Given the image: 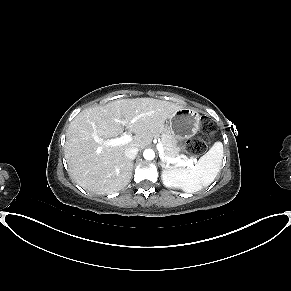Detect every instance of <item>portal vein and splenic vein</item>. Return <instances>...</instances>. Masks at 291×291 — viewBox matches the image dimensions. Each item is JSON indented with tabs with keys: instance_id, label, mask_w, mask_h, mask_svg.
<instances>
[{
	"instance_id": "18ae733b",
	"label": "portal vein and splenic vein",
	"mask_w": 291,
	"mask_h": 291,
	"mask_svg": "<svg viewBox=\"0 0 291 291\" xmlns=\"http://www.w3.org/2000/svg\"><path fill=\"white\" fill-rule=\"evenodd\" d=\"M117 122L123 123V121H121V120H118ZM93 138L96 141H99V137L96 134L93 135ZM130 141H131V135L124 134L120 138H113V139H110V140L106 141V144L108 146H120V145H123L125 143L130 142ZM157 150H158V152L160 154V157H163V146H162V144H157ZM167 161L169 163H171V164L179 163L182 166H188V167H193V162H195L194 159L182 160L181 157H178V158H167Z\"/></svg>"
}]
</instances>
